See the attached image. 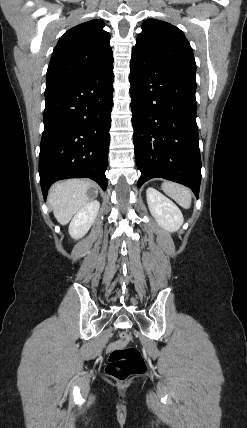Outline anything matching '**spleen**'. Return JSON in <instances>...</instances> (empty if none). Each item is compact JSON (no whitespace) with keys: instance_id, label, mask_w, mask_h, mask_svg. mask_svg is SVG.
I'll return each mask as SVG.
<instances>
[{"instance_id":"obj_1","label":"spleen","mask_w":247,"mask_h":428,"mask_svg":"<svg viewBox=\"0 0 247 428\" xmlns=\"http://www.w3.org/2000/svg\"><path fill=\"white\" fill-rule=\"evenodd\" d=\"M162 190L174 199L181 207L188 209L191 206L192 192L189 188L170 181L162 184Z\"/></svg>"}]
</instances>
